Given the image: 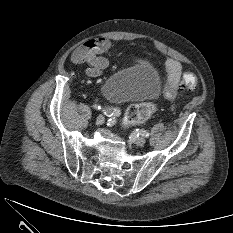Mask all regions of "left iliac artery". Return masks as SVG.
Instances as JSON below:
<instances>
[{
  "mask_svg": "<svg viewBox=\"0 0 233 233\" xmlns=\"http://www.w3.org/2000/svg\"><path fill=\"white\" fill-rule=\"evenodd\" d=\"M140 134L144 137H149V132L145 131V130H141Z\"/></svg>",
  "mask_w": 233,
  "mask_h": 233,
  "instance_id": "44dca946",
  "label": "left iliac artery"
}]
</instances>
